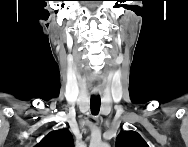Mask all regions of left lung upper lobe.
<instances>
[{"mask_svg":"<svg viewBox=\"0 0 188 147\" xmlns=\"http://www.w3.org/2000/svg\"><path fill=\"white\" fill-rule=\"evenodd\" d=\"M117 147H148L143 138L134 131H123L116 139Z\"/></svg>","mask_w":188,"mask_h":147,"instance_id":"obj_1","label":"left lung upper lobe"}]
</instances>
